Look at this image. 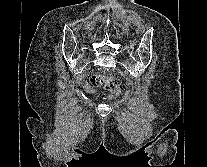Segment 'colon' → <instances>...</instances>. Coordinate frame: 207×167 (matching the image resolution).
I'll use <instances>...</instances> for the list:
<instances>
[{
	"instance_id": "5ec220e1",
	"label": "colon",
	"mask_w": 207,
	"mask_h": 167,
	"mask_svg": "<svg viewBox=\"0 0 207 167\" xmlns=\"http://www.w3.org/2000/svg\"><path fill=\"white\" fill-rule=\"evenodd\" d=\"M92 82L97 87H102L108 91L117 94L120 91V81L114 77L104 76L102 74H96L92 78Z\"/></svg>"
}]
</instances>
